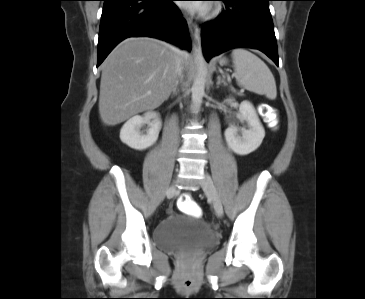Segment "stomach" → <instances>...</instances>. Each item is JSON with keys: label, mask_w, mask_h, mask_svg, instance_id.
Returning <instances> with one entry per match:
<instances>
[{"label": "stomach", "mask_w": 365, "mask_h": 299, "mask_svg": "<svg viewBox=\"0 0 365 299\" xmlns=\"http://www.w3.org/2000/svg\"><path fill=\"white\" fill-rule=\"evenodd\" d=\"M220 65H225L227 63V60L225 58L220 59L219 61Z\"/></svg>", "instance_id": "obj_1"}]
</instances>
